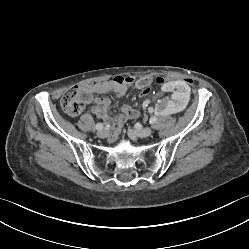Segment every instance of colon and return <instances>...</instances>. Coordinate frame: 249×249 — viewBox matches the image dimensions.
I'll use <instances>...</instances> for the list:
<instances>
[{
	"instance_id": "colon-1",
	"label": "colon",
	"mask_w": 249,
	"mask_h": 249,
	"mask_svg": "<svg viewBox=\"0 0 249 249\" xmlns=\"http://www.w3.org/2000/svg\"><path fill=\"white\" fill-rule=\"evenodd\" d=\"M164 80L160 77L154 78L152 83L161 84ZM149 89H146L143 93L148 94ZM61 106L65 112L70 115L80 114L85 107V95L79 87H71L67 89L61 97Z\"/></svg>"
}]
</instances>
